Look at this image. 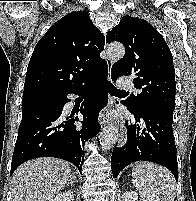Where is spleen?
<instances>
[{
  "label": "spleen",
  "instance_id": "1",
  "mask_svg": "<svg viewBox=\"0 0 196 201\" xmlns=\"http://www.w3.org/2000/svg\"><path fill=\"white\" fill-rule=\"evenodd\" d=\"M132 177L142 201H174L175 179L166 168L139 163L132 168Z\"/></svg>",
  "mask_w": 196,
  "mask_h": 201
}]
</instances>
